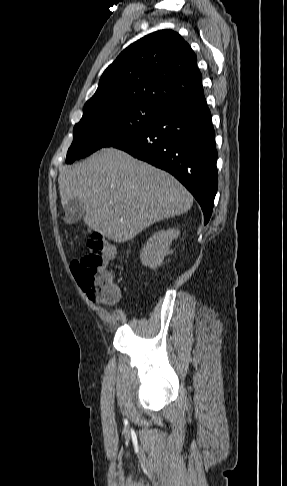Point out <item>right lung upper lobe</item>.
Segmentation results:
<instances>
[{
	"label": "right lung upper lobe",
	"instance_id": "cb5924a9",
	"mask_svg": "<svg viewBox=\"0 0 287 486\" xmlns=\"http://www.w3.org/2000/svg\"><path fill=\"white\" fill-rule=\"evenodd\" d=\"M202 91V75L189 44L172 30H160L121 52L102 74L97 91L84 109L129 101L169 108Z\"/></svg>",
	"mask_w": 287,
	"mask_h": 486
}]
</instances>
